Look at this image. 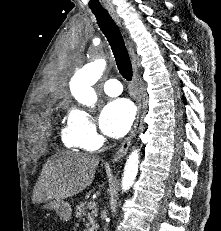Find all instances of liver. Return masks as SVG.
<instances>
[{"label":"liver","mask_w":221,"mask_h":231,"mask_svg":"<svg viewBox=\"0 0 221 231\" xmlns=\"http://www.w3.org/2000/svg\"><path fill=\"white\" fill-rule=\"evenodd\" d=\"M99 156L70 151L58 152L44 165L34 187L33 203L75 196L93 182Z\"/></svg>","instance_id":"6515ba94"}]
</instances>
